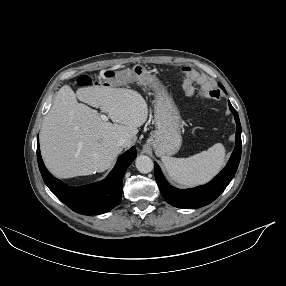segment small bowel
Wrapping results in <instances>:
<instances>
[{
	"instance_id": "small-bowel-1",
	"label": "small bowel",
	"mask_w": 286,
	"mask_h": 286,
	"mask_svg": "<svg viewBox=\"0 0 286 286\" xmlns=\"http://www.w3.org/2000/svg\"><path fill=\"white\" fill-rule=\"evenodd\" d=\"M184 73L187 76V83L185 85V93L188 96H191L194 93V88H193V85L191 84L192 82H197V83L204 84V85H207L208 83L204 75H202L201 73H198L192 68H189V67L185 68ZM204 92L208 94V98L210 99L214 100V99H217L218 97V90L207 89Z\"/></svg>"
}]
</instances>
